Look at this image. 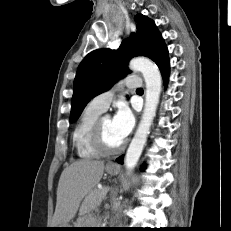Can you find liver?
Masks as SVG:
<instances>
[{
  "mask_svg": "<svg viewBox=\"0 0 231 231\" xmlns=\"http://www.w3.org/2000/svg\"><path fill=\"white\" fill-rule=\"evenodd\" d=\"M104 162L81 159L66 167L59 179L52 227L65 226L75 217L82 200L100 182Z\"/></svg>",
  "mask_w": 231,
  "mask_h": 231,
  "instance_id": "liver-1",
  "label": "liver"
}]
</instances>
